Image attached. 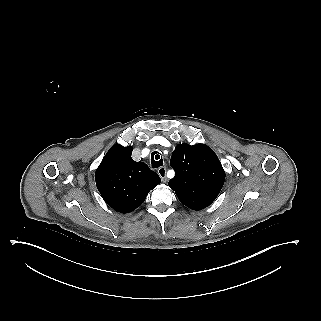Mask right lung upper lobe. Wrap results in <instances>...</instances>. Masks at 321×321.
Masks as SVG:
<instances>
[{"instance_id":"cb5924a9","label":"right lung upper lobe","mask_w":321,"mask_h":321,"mask_svg":"<svg viewBox=\"0 0 321 321\" xmlns=\"http://www.w3.org/2000/svg\"><path fill=\"white\" fill-rule=\"evenodd\" d=\"M133 147L115 144L96 170L97 189L114 210L128 213L139 207L160 177L143 162L131 158Z\"/></svg>"}]
</instances>
